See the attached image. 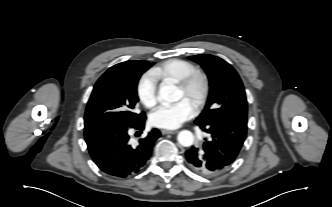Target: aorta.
<instances>
[{"mask_svg": "<svg viewBox=\"0 0 332 207\" xmlns=\"http://www.w3.org/2000/svg\"><path fill=\"white\" fill-rule=\"evenodd\" d=\"M181 93L179 89L172 84L163 82L159 89V99L166 102H176L180 100ZM178 142L184 147H189L194 142V135L188 130H182L177 136Z\"/></svg>", "mask_w": 332, "mask_h": 207, "instance_id": "aorta-1", "label": "aorta"}]
</instances>
